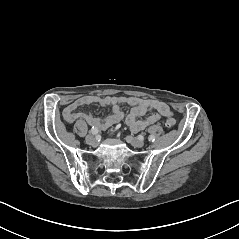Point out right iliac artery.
Returning a JSON list of instances; mask_svg holds the SVG:
<instances>
[{
	"mask_svg": "<svg viewBox=\"0 0 239 239\" xmlns=\"http://www.w3.org/2000/svg\"><path fill=\"white\" fill-rule=\"evenodd\" d=\"M93 135H96L98 133V129L95 127H92L91 131H90Z\"/></svg>",
	"mask_w": 239,
	"mask_h": 239,
	"instance_id": "82829eb1",
	"label": "right iliac artery"
}]
</instances>
